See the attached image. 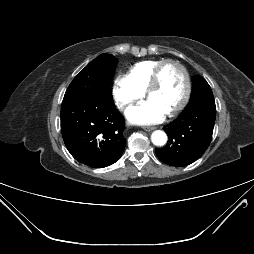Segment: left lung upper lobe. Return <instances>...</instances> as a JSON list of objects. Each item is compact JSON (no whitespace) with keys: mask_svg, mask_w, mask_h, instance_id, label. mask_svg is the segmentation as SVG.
<instances>
[{"mask_svg":"<svg viewBox=\"0 0 254 254\" xmlns=\"http://www.w3.org/2000/svg\"><path fill=\"white\" fill-rule=\"evenodd\" d=\"M189 103L194 104H215L212 90L207 81L196 75L192 77V93Z\"/></svg>","mask_w":254,"mask_h":254,"instance_id":"obj_1","label":"left lung upper lobe"}]
</instances>
